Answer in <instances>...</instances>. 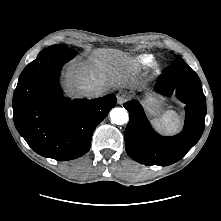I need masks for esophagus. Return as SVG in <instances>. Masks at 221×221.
Returning a JSON list of instances; mask_svg holds the SVG:
<instances>
[{"label":"esophagus","mask_w":221,"mask_h":221,"mask_svg":"<svg viewBox=\"0 0 221 221\" xmlns=\"http://www.w3.org/2000/svg\"><path fill=\"white\" fill-rule=\"evenodd\" d=\"M129 98V94L125 91H120L117 94V101L119 104H123Z\"/></svg>","instance_id":"1"}]
</instances>
